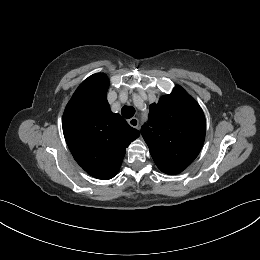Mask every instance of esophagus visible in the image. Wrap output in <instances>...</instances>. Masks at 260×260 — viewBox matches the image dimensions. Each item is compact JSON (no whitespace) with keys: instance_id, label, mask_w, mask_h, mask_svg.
I'll return each instance as SVG.
<instances>
[{"instance_id":"esophagus-1","label":"esophagus","mask_w":260,"mask_h":260,"mask_svg":"<svg viewBox=\"0 0 260 260\" xmlns=\"http://www.w3.org/2000/svg\"><path fill=\"white\" fill-rule=\"evenodd\" d=\"M128 123H129L130 126H132L134 128L139 127V120L137 118L128 119Z\"/></svg>"}]
</instances>
